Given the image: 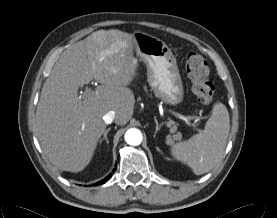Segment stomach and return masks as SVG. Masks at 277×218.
<instances>
[{
    "mask_svg": "<svg viewBox=\"0 0 277 218\" xmlns=\"http://www.w3.org/2000/svg\"><path fill=\"white\" fill-rule=\"evenodd\" d=\"M136 55L147 67V80L155 96L163 103L176 106L183 101L184 88L176 58L159 38L137 31Z\"/></svg>",
    "mask_w": 277,
    "mask_h": 218,
    "instance_id": "0dacf381",
    "label": "stomach"
}]
</instances>
